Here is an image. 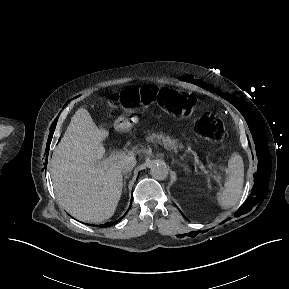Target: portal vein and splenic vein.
<instances>
[{"mask_svg": "<svg viewBox=\"0 0 289 289\" xmlns=\"http://www.w3.org/2000/svg\"><path fill=\"white\" fill-rule=\"evenodd\" d=\"M125 157V153L123 152H114L108 159H106L103 163L107 164V163H111V162H115L121 158ZM195 163L197 164V166L199 167V169L209 178L211 179L213 176L210 174V172L205 168V166L202 164L201 161H199L198 158H195Z\"/></svg>", "mask_w": 289, "mask_h": 289, "instance_id": "obj_1", "label": "portal vein and splenic vein"}]
</instances>
